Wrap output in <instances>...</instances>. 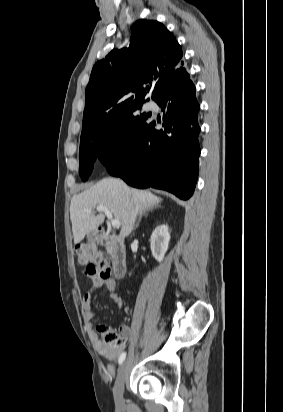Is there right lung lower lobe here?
<instances>
[{
    "mask_svg": "<svg viewBox=\"0 0 283 412\" xmlns=\"http://www.w3.org/2000/svg\"><path fill=\"white\" fill-rule=\"evenodd\" d=\"M190 76L165 87L156 103L164 112V129L148 122L127 154L106 165L109 173L137 188L167 190L189 199L199 172V103Z\"/></svg>",
    "mask_w": 283,
    "mask_h": 412,
    "instance_id": "right-lung-lower-lobe-1",
    "label": "right lung lower lobe"
}]
</instances>
